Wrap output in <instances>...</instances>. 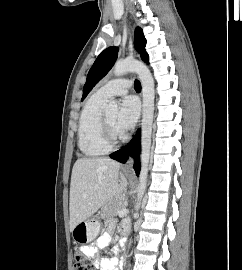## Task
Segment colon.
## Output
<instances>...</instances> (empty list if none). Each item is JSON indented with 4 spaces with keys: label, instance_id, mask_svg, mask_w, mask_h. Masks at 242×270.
<instances>
[{
    "label": "colon",
    "instance_id": "colon-1",
    "mask_svg": "<svg viewBox=\"0 0 242 270\" xmlns=\"http://www.w3.org/2000/svg\"><path fill=\"white\" fill-rule=\"evenodd\" d=\"M74 270H94V266L87 257L78 254L75 256Z\"/></svg>",
    "mask_w": 242,
    "mask_h": 270
}]
</instances>
